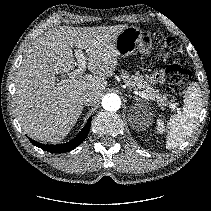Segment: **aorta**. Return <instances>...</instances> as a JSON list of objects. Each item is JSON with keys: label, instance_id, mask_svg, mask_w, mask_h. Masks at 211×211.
Instances as JSON below:
<instances>
[{"label": "aorta", "instance_id": "aorta-1", "mask_svg": "<svg viewBox=\"0 0 211 211\" xmlns=\"http://www.w3.org/2000/svg\"><path fill=\"white\" fill-rule=\"evenodd\" d=\"M121 106V99L117 94L110 93L103 97L102 107L107 111H117Z\"/></svg>", "mask_w": 211, "mask_h": 211}]
</instances>
